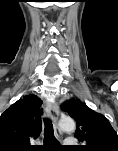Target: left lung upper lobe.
Returning a JSON list of instances; mask_svg holds the SVG:
<instances>
[{
	"mask_svg": "<svg viewBox=\"0 0 118 151\" xmlns=\"http://www.w3.org/2000/svg\"><path fill=\"white\" fill-rule=\"evenodd\" d=\"M77 123L75 136L85 145L80 151H118V135L105 116L90 109L77 98H71L62 104Z\"/></svg>",
	"mask_w": 118,
	"mask_h": 151,
	"instance_id": "left-lung-upper-lobe-1",
	"label": "left lung upper lobe"
}]
</instances>
